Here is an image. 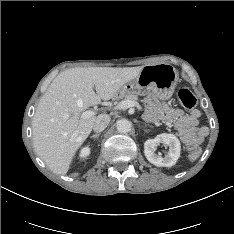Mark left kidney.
<instances>
[{
    "label": "left kidney",
    "mask_w": 234,
    "mask_h": 234,
    "mask_svg": "<svg viewBox=\"0 0 234 234\" xmlns=\"http://www.w3.org/2000/svg\"><path fill=\"white\" fill-rule=\"evenodd\" d=\"M169 146L168 154L165 157L155 153L156 147L160 144ZM181 145L178 138L173 134L162 133L144 143V153L147 160L158 167H172L180 157Z\"/></svg>",
    "instance_id": "1"
}]
</instances>
